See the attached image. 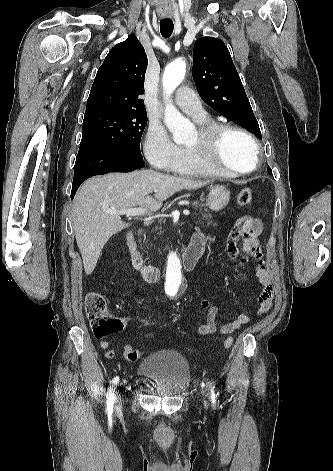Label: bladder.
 <instances>
[{"mask_svg":"<svg viewBox=\"0 0 333 471\" xmlns=\"http://www.w3.org/2000/svg\"><path fill=\"white\" fill-rule=\"evenodd\" d=\"M137 376L153 382L154 393L161 397H177L190 386L191 372L187 359L174 350H159L142 359Z\"/></svg>","mask_w":333,"mask_h":471,"instance_id":"1","label":"bladder"}]
</instances>
